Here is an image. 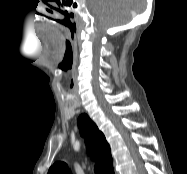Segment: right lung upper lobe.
<instances>
[{"mask_svg":"<svg viewBox=\"0 0 187 174\" xmlns=\"http://www.w3.org/2000/svg\"><path fill=\"white\" fill-rule=\"evenodd\" d=\"M79 129L81 135L85 139L88 154H90L93 159L100 160L105 174H114L110 146L103 133L100 132L91 121L90 126H79ZM48 174H71V172L65 163L56 162L50 167Z\"/></svg>","mask_w":187,"mask_h":174,"instance_id":"cb5924a9","label":"right lung upper lobe"}]
</instances>
